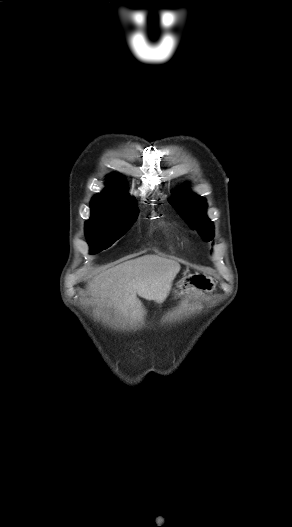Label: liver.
<instances>
[{
    "mask_svg": "<svg viewBox=\"0 0 292 527\" xmlns=\"http://www.w3.org/2000/svg\"><path fill=\"white\" fill-rule=\"evenodd\" d=\"M180 264L159 255H144L111 267L87 285L93 301L114 307L134 320H142L145 309L137 295L162 303L169 295Z\"/></svg>",
    "mask_w": 292,
    "mask_h": 527,
    "instance_id": "liver-1",
    "label": "liver"
}]
</instances>
